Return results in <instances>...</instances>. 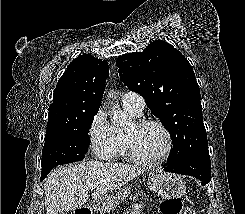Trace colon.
I'll return each mask as SVG.
<instances>
[{"label": "colon", "mask_w": 245, "mask_h": 214, "mask_svg": "<svg viewBox=\"0 0 245 214\" xmlns=\"http://www.w3.org/2000/svg\"><path fill=\"white\" fill-rule=\"evenodd\" d=\"M160 210L162 214H195V211L190 208H183L179 199H167L161 203ZM86 214H90L87 212Z\"/></svg>", "instance_id": "5ec220e1"}]
</instances>
